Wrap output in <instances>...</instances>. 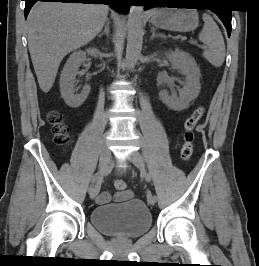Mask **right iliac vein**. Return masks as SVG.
<instances>
[{
	"label": "right iliac vein",
	"mask_w": 259,
	"mask_h": 266,
	"mask_svg": "<svg viewBox=\"0 0 259 266\" xmlns=\"http://www.w3.org/2000/svg\"><path fill=\"white\" fill-rule=\"evenodd\" d=\"M111 158V153L108 149V147L104 144L101 151H100V158H99V178L95 181V185L92 188V191L89 192L90 198L94 199L98 193H99V184H100V179L101 176L103 175L109 161Z\"/></svg>",
	"instance_id": "obj_1"
}]
</instances>
